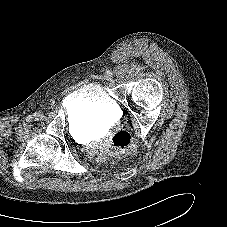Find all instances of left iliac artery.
I'll return each instance as SVG.
<instances>
[{
    "label": "left iliac artery",
    "instance_id": "1",
    "mask_svg": "<svg viewBox=\"0 0 227 227\" xmlns=\"http://www.w3.org/2000/svg\"><path fill=\"white\" fill-rule=\"evenodd\" d=\"M106 73H107L108 76H112L113 75V72L111 70H108Z\"/></svg>",
    "mask_w": 227,
    "mask_h": 227
}]
</instances>
